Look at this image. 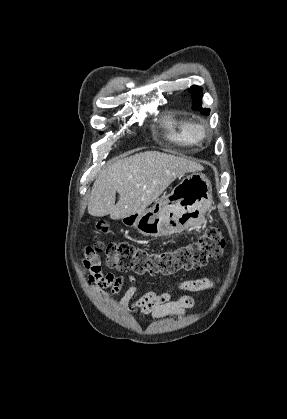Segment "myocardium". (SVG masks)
I'll use <instances>...</instances> for the list:
<instances>
[{
	"instance_id": "myocardium-1",
	"label": "myocardium",
	"mask_w": 287,
	"mask_h": 419,
	"mask_svg": "<svg viewBox=\"0 0 287 419\" xmlns=\"http://www.w3.org/2000/svg\"><path fill=\"white\" fill-rule=\"evenodd\" d=\"M189 134L194 142H202L207 139L209 133L205 125L201 123H191Z\"/></svg>"
}]
</instances>
